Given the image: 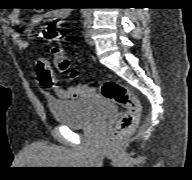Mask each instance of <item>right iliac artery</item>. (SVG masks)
Segmentation results:
<instances>
[{
  "instance_id": "right-iliac-artery-1",
  "label": "right iliac artery",
  "mask_w": 192,
  "mask_h": 180,
  "mask_svg": "<svg viewBox=\"0 0 192 180\" xmlns=\"http://www.w3.org/2000/svg\"><path fill=\"white\" fill-rule=\"evenodd\" d=\"M87 16V14L86 13H83V17H86Z\"/></svg>"
}]
</instances>
